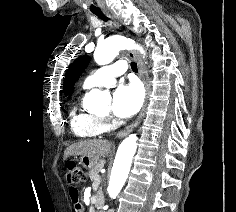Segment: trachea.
Segmentation results:
<instances>
[{"mask_svg":"<svg viewBox=\"0 0 236 212\" xmlns=\"http://www.w3.org/2000/svg\"><path fill=\"white\" fill-rule=\"evenodd\" d=\"M93 14H95L99 19H101L103 21H107L108 20V18L102 12H93ZM131 69L134 72H138L137 64L135 62L131 63Z\"/></svg>","mask_w":236,"mask_h":212,"instance_id":"1","label":"trachea"}]
</instances>
